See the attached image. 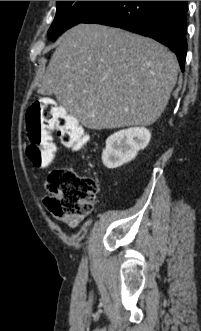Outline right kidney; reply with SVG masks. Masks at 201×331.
Here are the masks:
<instances>
[{
	"label": "right kidney",
	"mask_w": 201,
	"mask_h": 331,
	"mask_svg": "<svg viewBox=\"0 0 201 331\" xmlns=\"http://www.w3.org/2000/svg\"><path fill=\"white\" fill-rule=\"evenodd\" d=\"M151 133L144 127L123 129L110 135L102 153L103 164L110 169L133 160L149 144Z\"/></svg>",
	"instance_id": "obj_1"
}]
</instances>
